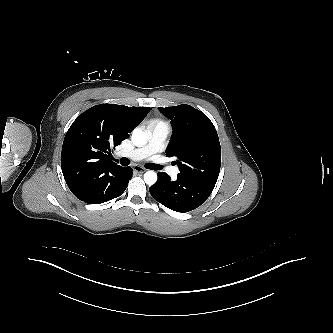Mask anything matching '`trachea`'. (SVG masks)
<instances>
[{
    "label": "trachea",
    "mask_w": 333,
    "mask_h": 333,
    "mask_svg": "<svg viewBox=\"0 0 333 333\" xmlns=\"http://www.w3.org/2000/svg\"><path fill=\"white\" fill-rule=\"evenodd\" d=\"M114 161L120 163L123 166H127L130 164V160L128 158H121L120 160L114 159ZM146 168L151 169V170H160L163 168V166L159 165V164H154V163H150L146 165Z\"/></svg>",
    "instance_id": "trachea-1"
}]
</instances>
